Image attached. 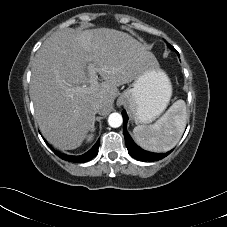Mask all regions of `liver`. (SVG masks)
I'll list each match as a JSON object with an SVG mask.
<instances>
[{
	"label": "liver",
	"mask_w": 227,
	"mask_h": 227,
	"mask_svg": "<svg viewBox=\"0 0 227 227\" xmlns=\"http://www.w3.org/2000/svg\"><path fill=\"white\" fill-rule=\"evenodd\" d=\"M151 66L154 54L129 34L108 28L52 34L32 63L30 96L42 135L63 150L76 149L93 130L95 100L108 112L118 87ZM97 73L104 80L97 81Z\"/></svg>",
	"instance_id": "obj_1"
}]
</instances>
